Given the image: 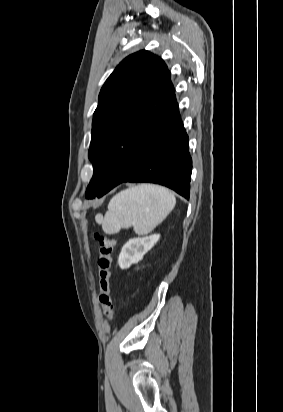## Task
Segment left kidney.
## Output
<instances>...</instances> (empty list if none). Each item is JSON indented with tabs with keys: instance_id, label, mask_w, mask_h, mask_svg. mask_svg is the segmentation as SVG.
<instances>
[{
	"instance_id": "1",
	"label": "left kidney",
	"mask_w": 283,
	"mask_h": 412,
	"mask_svg": "<svg viewBox=\"0 0 283 412\" xmlns=\"http://www.w3.org/2000/svg\"><path fill=\"white\" fill-rule=\"evenodd\" d=\"M159 238V234H152L146 237L133 238L126 242L118 258L120 268L127 269L132 264L141 261L143 256L157 243Z\"/></svg>"
}]
</instances>
